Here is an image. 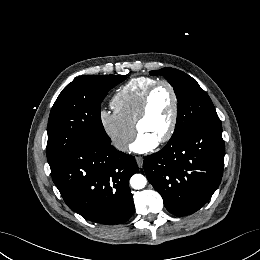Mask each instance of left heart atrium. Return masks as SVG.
<instances>
[{
  "label": "left heart atrium",
  "instance_id": "left-heart-atrium-1",
  "mask_svg": "<svg viewBox=\"0 0 260 260\" xmlns=\"http://www.w3.org/2000/svg\"><path fill=\"white\" fill-rule=\"evenodd\" d=\"M157 145L158 140L149 135L140 133L132 144L131 149L134 152L144 153L153 150Z\"/></svg>",
  "mask_w": 260,
  "mask_h": 260
}]
</instances>
